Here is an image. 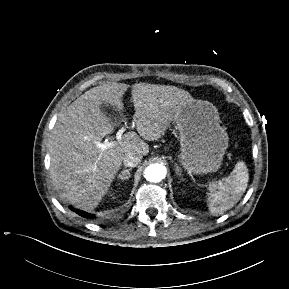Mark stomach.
<instances>
[{
	"instance_id": "stomach-1",
	"label": "stomach",
	"mask_w": 289,
	"mask_h": 289,
	"mask_svg": "<svg viewBox=\"0 0 289 289\" xmlns=\"http://www.w3.org/2000/svg\"><path fill=\"white\" fill-rule=\"evenodd\" d=\"M180 134L179 161L189 173L216 172L228 147L216 107L202 100L186 102L175 117Z\"/></svg>"
}]
</instances>
